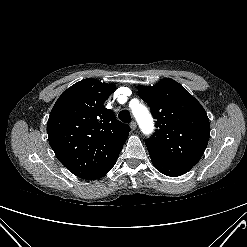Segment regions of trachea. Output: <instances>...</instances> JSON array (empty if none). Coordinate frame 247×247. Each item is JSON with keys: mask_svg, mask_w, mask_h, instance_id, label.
I'll return each mask as SVG.
<instances>
[{"mask_svg": "<svg viewBox=\"0 0 247 247\" xmlns=\"http://www.w3.org/2000/svg\"><path fill=\"white\" fill-rule=\"evenodd\" d=\"M118 117L124 123H130L131 122V115H130V112L128 110H122L118 114Z\"/></svg>", "mask_w": 247, "mask_h": 247, "instance_id": "obj_1", "label": "trachea"}]
</instances>
